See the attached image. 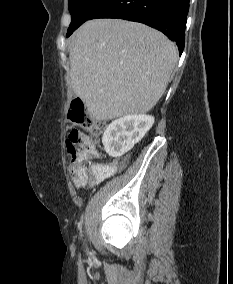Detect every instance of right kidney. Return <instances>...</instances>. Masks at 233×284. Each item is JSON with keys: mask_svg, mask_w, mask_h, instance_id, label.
Returning <instances> with one entry per match:
<instances>
[{"mask_svg": "<svg viewBox=\"0 0 233 284\" xmlns=\"http://www.w3.org/2000/svg\"><path fill=\"white\" fill-rule=\"evenodd\" d=\"M154 124L149 115H128L113 121L105 130L102 143L109 156L120 157L130 151Z\"/></svg>", "mask_w": 233, "mask_h": 284, "instance_id": "right-kidney-1", "label": "right kidney"}]
</instances>
